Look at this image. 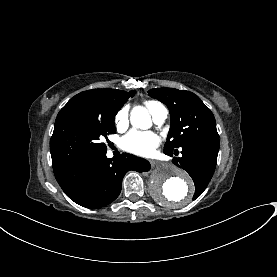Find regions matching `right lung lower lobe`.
<instances>
[{
  "label": "right lung lower lobe",
  "instance_id": "right-lung-lower-lobe-1",
  "mask_svg": "<svg viewBox=\"0 0 277 277\" xmlns=\"http://www.w3.org/2000/svg\"><path fill=\"white\" fill-rule=\"evenodd\" d=\"M147 160L124 153L117 159L106 151L92 153L53 167L55 177L75 203L91 209L114 201L121 192L122 179L129 170L149 171Z\"/></svg>",
  "mask_w": 277,
  "mask_h": 277
}]
</instances>
